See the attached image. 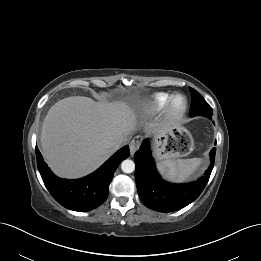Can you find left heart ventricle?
Returning a JSON list of instances; mask_svg holds the SVG:
<instances>
[{
	"label": "left heart ventricle",
	"mask_w": 261,
	"mask_h": 261,
	"mask_svg": "<svg viewBox=\"0 0 261 261\" xmlns=\"http://www.w3.org/2000/svg\"><path fill=\"white\" fill-rule=\"evenodd\" d=\"M181 104V100L179 99L178 101H177V105H180Z\"/></svg>",
	"instance_id": "obj_1"
}]
</instances>
